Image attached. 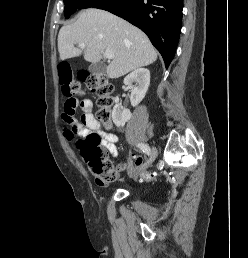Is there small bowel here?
I'll return each mask as SVG.
<instances>
[{
	"mask_svg": "<svg viewBox=\"0 0 248 258\" xmlns=\"http://www.w3.org/2000/svg\"><path fill=\"white\" fill-rule=\"evenodd\" d=\"M85 92L81 90L79 96L83 97ZM79 107L81 109L80 121L73 120L72 125L76 128V131L85 136L91 132L97 133L101 139L106 150L113 156H117L118 149L116 143L118 141V136L114 133L104 132L101 128L100 122L95 118L93 114V102L89 98H82L79 102ZM146 164V163H145ZM128 164H118L117 168L120 171L125 170ZM95 185H102V180H95Z\"/></svg>",
	"mask_w": 248,
	"mask_h": 258,
	"instance_id": "c3829d8e",
	"label": "small bowel"
}]
</instances>
